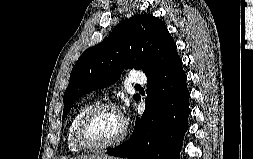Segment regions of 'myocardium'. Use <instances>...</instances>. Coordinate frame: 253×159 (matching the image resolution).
<instances>
[{
    "label": "myocardium",
    "mask_w": 253,
    "mask_h": 159,
    "mask_svg": "<svg viewBox=\"0 0 253 159\" xmlns=\"http://www.w3.org/2000/svg\"><path fill=\"white\" fill-rule=\"evenodd\" d=\"M104 109H113L120 113L118 106L111 101L97 102L88 108L80 118L76 130L75 140L78 146L85 150H103L120 144L127 135V124L123 119V128L121 133L113 140L104 143H93L87 135V128L94 115ZM121 114V113H120Z\"/></svg>",
    "instance_id": "1"
}]
</instances>
